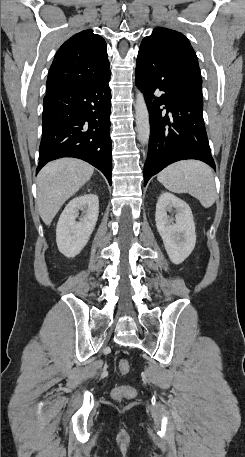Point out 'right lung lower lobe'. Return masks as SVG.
Returning <instances> with one entry per match:
<instances>
[{"mask_svg": "<svg viewBox=\"0 0 245 457\" xmlns=\"http://www.w3.org/2000/svg\"><path fill=\"white\" fill-rule=\"evenodd\" d=\"M110 75L79 80L46 94L36 173L51 160L75 157L98 168L111 184Z\"/></svg>", "mask_w": 245, "mask_h": 457, "instance_id": "right-lung-lower-lobe-1", "label": "right lung lower lobe"}]
</instances>
